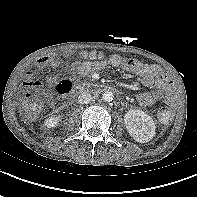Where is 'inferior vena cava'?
Instances as JSON below:
<instances>
[{"label": "inferior vena cava", "mask_w": 197, "mask_h": 197, "mask_svg": "<svg viewBox=\"0 0 197 197\" xmlns=\"http://www.w3.org/2000/svg\"><path fill=\"white\" fill-rule=\"evenodd\" d=\"M91 99H92L91 94L86 93V92H82V93L79 95V97H78V102H79L80 104H87V103H89V102L91 101Z\"/></svg>", "instance_id": "602c4592"}]
</instances>
